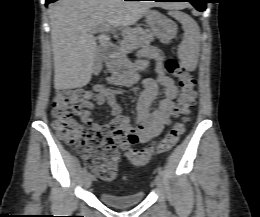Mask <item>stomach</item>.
I'll list each match as a JSON object with an SVG mask.
<instances>
[{
	"instance_id": "0dacf381",
	"label": "stomach",
	"mask_w": 260,
	"mask_h": 217,
	"mask_svg": "<svg viewBox=\"0 0 260 217\" xmlns=\"http://www.w3.org/2000/svg\"><path fill=\"white\" fill-rule=\"evenodd\" d=\"M145 21L152 33L161 40L168 41L174 38L177 33L175 23L158 11L148 10L145 13ZM145 68V64L137 65L127 60H122L113 65V73L120 78H129L136 70Z\"/></svg>"
}]
</instances>
